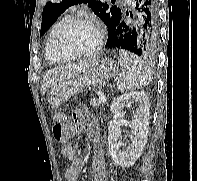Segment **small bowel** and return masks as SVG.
Returning a JSON list of instances; mask_svg holds the SVG:
<instances>
[{
  "instance_id": "small-bowel-1",
  "label": "small bowel",
  "mask_w": 197,
  "mask_h": 181,
  "mask_svg": "<svg viewBox=\"0 0 197 181\" xmlns=\"http://www.w3.org/2000/svg\"><path fill=\"white\" fill-rule=\"evenodd\" d=\"M72 119L74 129L77 132H85L94 144V154L90 165L92 181H106L104 151L99 143L100 131L97 120L85 106H78L73 112ZM61 153L68 163L65 169L67 181H80V173L84 166L82 156L77 154L75 147L71 144L64 145Z\"/></svg>"
}]
</instances>
